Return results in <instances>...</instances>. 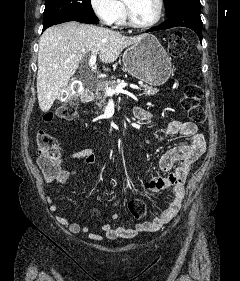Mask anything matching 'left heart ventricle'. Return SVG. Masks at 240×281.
<instances>
[{
	"mask_svg": "<svg viewBox=\"0 0 240 281\" xmlns=\"http://www.w3.org/2000/svg\"><path fill=\"white\" fill-rule=\"evenodd\" d=\"M131 7L133 18L139 23L151 21L157 12V0H127Z\"/></svg>",
	"mask_w": 240,
	"mask_h": 281,
	"instance_id": "b2bd125f",
	"label": "left heart ventricle"
}]
</instances>
